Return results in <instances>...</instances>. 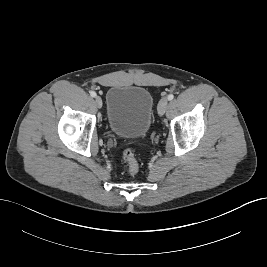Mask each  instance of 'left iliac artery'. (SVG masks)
<instances>
[{
  "label": "left iliac artery",
  "mask_w": 267,
  "mask_h": 267,
  "mask_svg": "<svg viewBox=\"0 0 267 267\" xmlns=\"http://www.w3.org/2000/svg\"><path fill=\"white\" fill-rule=\"evenodd\" d=\"M167 98H168V100H172L174 98V95L173 94H169Z\"/></svg>",
  "instance_id": "obj_1"
}]
</instances>
